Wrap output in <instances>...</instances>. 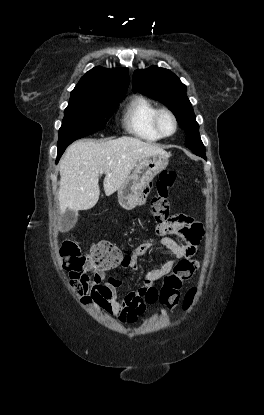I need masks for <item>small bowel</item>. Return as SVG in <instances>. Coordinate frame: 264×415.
Instances as JSON below:
<instances>
[{"mask_svg": "<svg viewBox=\"0 0 264 415\" xmlns=\"http://www.w3.org/2000/svg\"><path fill=\"white\" fill-rule=\"evenodd\" d=\"M163 228L180 236L182 242L171 237H164L161 244L172 254L161 266L156 267L144 276V284L138 289L130 291L120 301L117 290L121 286L120 279L106 277L104 269L86 270L80 274L72 275V279L79 282L88 295H90L105 311L117 320L125 323H134L147 309V292L153 288L157 281L171 273L175 265L194 255L196 245L203 235V227L191 217L174 215L170 217ZM154 243L144 242L136 246L121 260L120 266L125 269H138V258L154 248Z\"/></svg>", "mask_w": 264, "mask_h": 415, "instance_id": "1", "label": "small bowel"}]
</instances>
